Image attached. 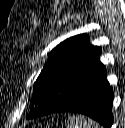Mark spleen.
Returning a JSON list of instances; mask_svg holds the SVG:
<instances>
[{
	"label": "spleen",
	"mask_w": 125,
	"mask_h": 128,
	"mask_svg": "<svg viewBox=\"0 0 125 128\" xmlns=\"http://www.w3.org/2000/svg\"><path fill=\"white\" fill-rule=\"evenodd\" d=\"M66 128H100L92 119H85L82 116H70Z\"/></svg>",
	"instance_id": "3e777b00"
}]
</instances>
